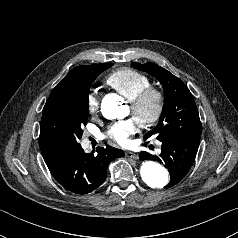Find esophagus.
Listing matches in <instances>:
<instances>
[{"instance_id": "1", "label": "esophagus", "mask_w": 238, "mask_h": 238, "mask_svg": "<svg viewBox=\"0 0 238 238\" xmlns=\"http://www.w3.org/2000/svg\"><path fill=\"white\" fill-rule=\"evenodd\" d=\"M125 156L132 159H138V155L131 151H126Z\"/></svg>"}]
</instances>
